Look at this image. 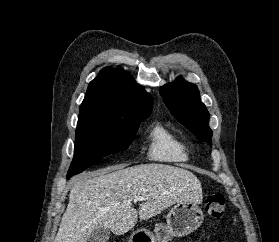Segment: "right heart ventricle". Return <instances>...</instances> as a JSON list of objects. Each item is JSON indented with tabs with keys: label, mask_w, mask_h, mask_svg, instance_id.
<instances>
[{
	"label": "right heart ventricle",
	"mask_w": 279,
	"mask_h": 242,
	"mask_svg": "<svg viewBox=\"0 0 279 242\" xmlns=\"http://www.w3.org/2000/svg\"><path fill=\"white\" fill-rule=\"evenodd\" d=\"M149 156L155 161L178 164L189 160L185 141L163 122L155 123L148 135Z\"/></svg>",
	"instance_id": "right-heart-ventricle-1"
}]
</instances>
